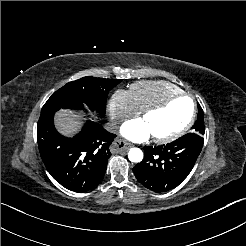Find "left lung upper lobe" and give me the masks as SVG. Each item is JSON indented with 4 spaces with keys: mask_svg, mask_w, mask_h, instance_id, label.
<instances>
[{
    "mask_svg": "<svg viewBox=\"0 0 246 246\" xmlns=\"http://www.w3.org/2000/svg\"><path fill=\"white\" fill-rule=\"evenodd\" d=\"M192 132L201 136H203L205 133L204 114L199 104H198V118L194 123V125L192 126Z\"/></svg>",
    "mask_w": 246,
    "mask_h": 246,
    "instance_id": "5c2ea615",
    "label": "left lung upper lobe"
}]
</instances>
